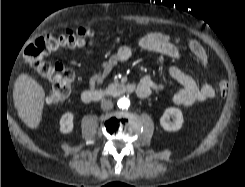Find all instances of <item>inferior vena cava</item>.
I'll return each instance as SVG.
<instances>
[{
    "mask_svg": "<svg viewBox=\"0 0 245 187\" xmlns=\"http://www.w3.org/2000/svg\"><path fill=\"white\" fill-rule=\"evenodd\" d=\"M113 108V103L111 100H103L101 102V109L104 111H108Z\"/></svg>",
    "mask_w": 245,
    "mask_h": 187,
    "instance_id": "602c4592",
    "label": "inferior vena cava"
}]
</instances>
